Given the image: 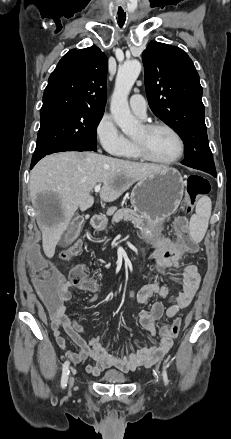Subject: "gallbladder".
Returning a JSON list of instances; mask_svg holds the SVG:
<instances>
[{"label":"gallbladder","instance_id":"1","mask_svg":"<svg viewBox=\"0 0 231 439\" xmlns=\"http://www.w3.org/2000/svg\"><path fill=\"white\" fill-rule=\"evenodd\" d=\"M83 222H84V217L80 216V215L76 216L72 220L67 231L64 234L65 245H69L77 239V237L79 236Z\"/></svg>","mask_w":231,"mask_h":439}]
</instances>
